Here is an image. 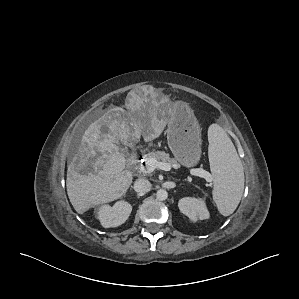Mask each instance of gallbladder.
<instances>
[{
    "label": "gallbladder",
    "instance_id": "gallbladder-1",
    "mask_svg": "<svg viewBox=\"0 0 299 299\" xmlns=\"http://www.w3.org/2000/svg\"><path fill=\"white\" fill-rule=\"evenodd\" d=\"M101 130H102V132H108V131H109V129H108L107 126H103V127L101 128ZM122 150H125V149H122Z\"/></svg>",
    "mask_w": 299,
    "mask_h": 299
}]
</instances>
